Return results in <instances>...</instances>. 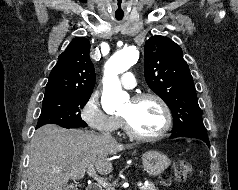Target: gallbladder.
Returning a JSON list of instances; mask_svg holds the SVG:
<instances>
[{
  "label": "gallbladder",
  "mask_w": 238,
  "mask_h": 190,
  "mask_svg": "<svg viewBox=\"0 0 238 190\" xmlns=\"http://www.w3.org/2000/svg\"><path fill=\"white\" fill-rule=\"evenodd\" d=\"M77 187L78 186L76 184H71L69 185V190H78Z\"/></svg>",
  "instance_id": "obj_1"
}]
</instances>
